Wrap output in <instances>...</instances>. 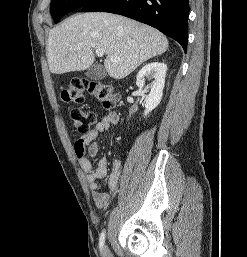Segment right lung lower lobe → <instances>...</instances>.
<instances>
[{
    "mask_svg": "<svg viewBox=\"0 0 247 257\" xmlns=\"http://www.w3.org/2000/svg\"><path fill=\"white\" fill-rule=\"evenodd\" d=\"M120 14L157 28L187 51L189 0H93L81 12Z\"/></svg>",
    "mask_w": 247,
    "mask_h": 257,
    "instance_id": "1",
    "label": "right lung lower lobe"
}]
</instances>
